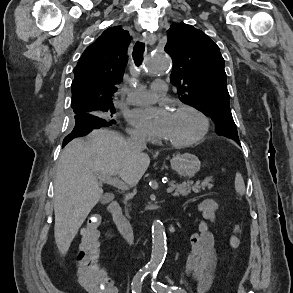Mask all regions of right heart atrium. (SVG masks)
<instances>
[{
	"instance_id": "obj_1",
	"label": "right heart atrium",
	"mask_w": 293,
	"mask_h": 293,
	"mask_svg": "<svg viewBox=\"0 0 293 293\" xmlns=\"http://www.w3.org/2000/svg\"><path fill=\"white\" fill-rule=\"evenodd\" d=\"M128 133L133 136V137H136V138H141V139H146V134L135 129V128H128Z\"/></svg>"
}]
</instances>
